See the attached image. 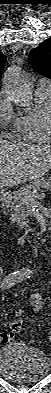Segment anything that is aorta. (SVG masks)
<instances>
[{"mask_svg": "<svg viewBox=\"0 0 51 393\" xmlns=\"http://www.w3.org/2000/svg\"><path fill=\"white\" fill-rule=\"evenodd\" d=\"M4 84L5 90L15 104L25 109L32 107L33 88L28 81L21 77L18 66L8 71Z\"/></svg>", "mask_w": 51, "mask_h": 393, "instance_id": "1", "label": "aorta"}]
</instances>
